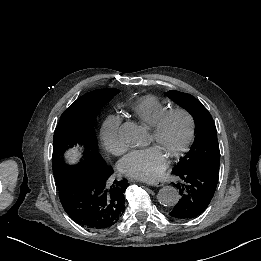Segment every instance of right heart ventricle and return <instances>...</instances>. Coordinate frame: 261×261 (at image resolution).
<instances>
[{
  "label": "right heart ventricle",
  "mask_w": 261,
  "mask_h": 261,
  "mask_svg": "<svg viewBox=\"0 0 261 261\" xmlns=\"http://www.w3.org/2000/svg\"><path fill=\"white\" fill-rule=\"evenodd\" d=\"M132 115L145 125H150L168 109V105L154 95H144L125 103Z\"/></svg>",
  "instance_id": "e07e8e85"
}]
</instances>
